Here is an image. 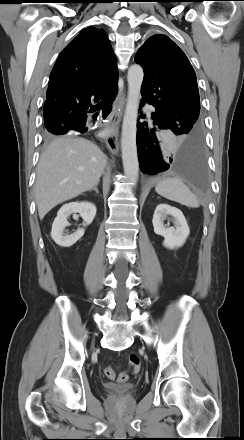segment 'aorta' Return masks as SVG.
I'll use <instances>...</instances> for the list:
<instances>
[{"mask_svg":"<svg viewBox=\"0 0 244 440\" xmlns=\"http://www.w3.org/2000/svg\"><path fill=\"white\" fill-rule=\"evenodd\" d=\"M144 72L140 65H132L128 70V96L123 117L121 150L124 173L127 180L135 184L139 175L136 132L141 86Z\"/></svg>","mask_w":244,"mask_h":440,"instance_id":"1","label":"aorta"}]
</instances>
